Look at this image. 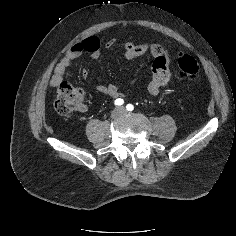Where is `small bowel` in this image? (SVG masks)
Wrapping results in <instances>:
<instances>
[{"label": "small bowel", "instance_id": "1", "mask_svg": "<svg viewBox=\"0 0 236 236\" xmlns=\"http://www.w3.org/2000/svg\"><path fill=\"white\" fill-rule=\"evenodd\" d=\"M113 44V39L102 43L99 37L94 35L73 44L67 51L65 57L56 65L50 79V85L52 87H59L60 84L65 83L71 63L84 53H89L93 59H97L100 56L102 48L108 49ZM148 52L153 57V74L148 83L147 91L151 95H157L163 88L169 85L171 79V59L167 50L158 43L134 44L128 41L123 46L124 57L128 60L136 59ZM82 76L86 80L89 79V72L84 70ZM95 89L99 93L114 99L122 97V93L115 84H98L95 86ZM85 109L83 107V110Z\"/></svg>", "mask_w": 236, "mask_h": 236}]
</instances>
